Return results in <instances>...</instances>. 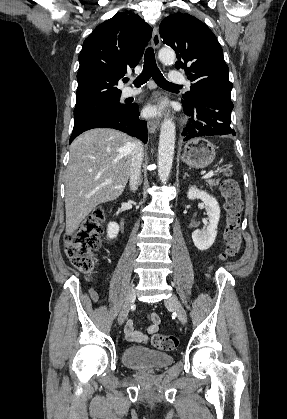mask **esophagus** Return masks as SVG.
<instances>
[{"mask_svg":"<svg viewBox=\"0 0 287 419\" xmlns=\"http://www.w3.org/2000/svg\"><path fill=\"white\" fill-rule=\"evenodd\" d=\"M160 35L158 28L156 26L153 27V33L151 38V44L154 49H158L160 47ZM148 130L150 133H155L160 125V118H155L153 120H149L148 123Z\"/></svg>","mask_w":287,"mask_h":419,"instance_id":"obj_1","label":"esophagus"}]
</instances>
